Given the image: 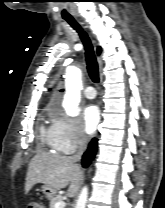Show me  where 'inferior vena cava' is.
I'll list each match as a JSON object with an SVG mask.
<instances>
[{"instance_id": "602c4592", "label": "inferior vena cava", "mask_w": 165, "mask_h": 208, "mask_svg": "<svg viewBox=\"0 0 165 208\" xmlns=\"http://www.w3.org/2000/svg\"><path fill=\"white\" fill-rule=\"evenodd\" d=\"M87 142H88L87 136L84 133H81L79 136L78 150L76 154L71 157L73 162L76 163L81 160V157L87 148Z\"/></svg>"}]
</instances>
